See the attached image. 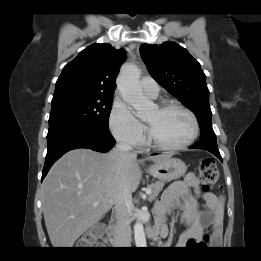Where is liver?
Wrapping results in <instances>:
<instances>
[{
    "label": "liver",
    "instance_id": "6515ba94",
    "mask_svg": "<svg viewBox=\"0 0 261 261\" xmlns=\"http://www.w3.org/2000/svg\"><path fill=\"white\" fill-rule=\"evenodd\" d=\"M171 154L149 156L157 163ZM143 160H141L142 162ZM137 159L74 149L64 154L42 183V206L47 232L55 248H71L114 205L122 186L137 190L142 173Z\"/></svg>",
    "mask_w": 261,
    "mask_h": 261
}]
</instances>
